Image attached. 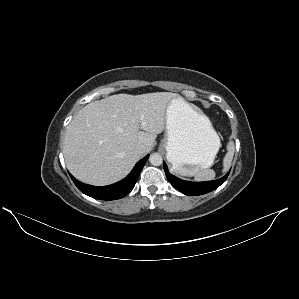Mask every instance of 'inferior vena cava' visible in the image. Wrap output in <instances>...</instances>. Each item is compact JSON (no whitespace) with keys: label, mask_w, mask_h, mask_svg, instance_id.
Returning a JSON list of instances; mask_svg holds the SVG:
<instances>
[{"label":"inferior vena cava","mask_w":299,"mask_h":299,"mask_svg":"<svg viewBox=\"0 0 299 299\" xmlns=\"http://www.w3.org/2000/svg\"><path fill=\"white\" fill-rule=\"evenodd\" d=\"M135 151L139 154H142L144 152V146L142 144H138L136 147H135Z\"/></svg>","instance_id":"obj_1"}]
</instances>
